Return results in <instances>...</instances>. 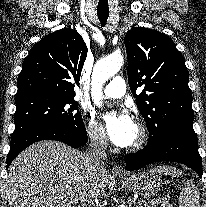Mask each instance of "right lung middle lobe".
<instances>
[{
    "mask_svg": "<svg viewBox=\"0 0 206 207\" xmlns=\"http://www.w3.org/2000/svg\"><path fill=\"white\" fill-rule=\"evenodd\" d=\"M74 96L40 94L16 101L12 139L42 127H60L84 132L85 126Z\"/></svg>",
    "mask_w": 206,
    "mask_h": 207,
    "instance_id": "obj_1",
    "label": "right lung middle lobe"
}]
</instances>
